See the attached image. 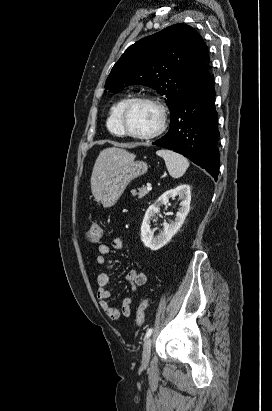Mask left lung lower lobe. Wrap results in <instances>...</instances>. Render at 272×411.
I'll list each match as a JSON object with an SVG mask.
<instances>
[{
  "label": "left lung lower lobe",
  "instance_id": "left-lung-lower-lobe-1",
  "mask_svg": "<svg viewBox=\"0 0 272 411\" xmlns=\"http://www.w3.org/2000/svg\"><path fill=\"white\" fill-rule=\"evenodd\" d=\"M214 97V79L209 75L181 101L170 117L169 131L153 144L182 154L217 180L219 131Z\"/></svg>",
  "mask_w": 272,
  "mask_h": 411
}]
</instances>
